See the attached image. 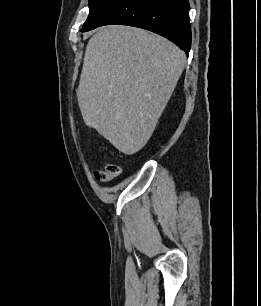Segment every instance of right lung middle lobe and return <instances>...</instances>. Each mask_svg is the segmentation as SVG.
Segmentation results:
<instances>
[{"mask_svg": "<svg viewBox=\"0 0 261 306\" xmlns=\"http://www.w3.org/2000/svg\"><path fill=\"white\" fill-rule=\"evenodd\" d=\"M113 0H89V15L83 28L90 24Z\"/></svg>", "mask_w": 261, "mask_h": 306, "instance_id": "1", "label": "right lung middle lobe"}]
</instances>
